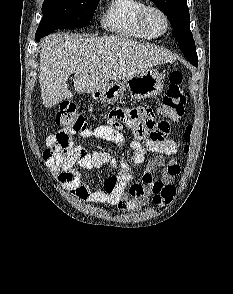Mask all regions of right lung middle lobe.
Returning a JSON list of instances; mask_svg holds the SVG:
<instances>
[{"mask_svg":"<svg viewBox=\"0 0 233 294\" xmlns=\"http://www.w3.org/2000/svg\"><path fill=\"white\" fill-rule=\"evenodd\" d=\"M99 0H45L36 40L57 29L82 28L89 24Z\"/></svg>","mask_w":233,"mask_h":294,"instance_id":"1","label":"right lung middle lobe"}]
</instances>
